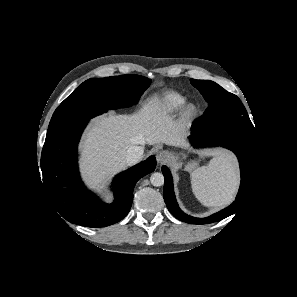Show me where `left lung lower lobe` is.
<instances>
[{"instance_id": "obj_1", "label": "left lung lower lobe", "mask_w": 297, "mask_h": 297, "mask_svg": "<svg viewBox=\"0 0 297 297\" xmlns=\"http://www.w3.org/2000/svg\"><path fill=\"white\" fill-rule=\"evenodd\" d=\"M191 133L190 141L194 147H225L236 154L240 165L241 184L236 200L227 208L206 218L191 217L179 208L173 191L171 173L166 166H162V172L165 177L163 196L171 214L183 222L191 224H209L235 214L248 199L253 186L254 175L257 170V141L254 136L248 133L230 128L203 131L193 124Z\"/></svg>"}]
</instances>
